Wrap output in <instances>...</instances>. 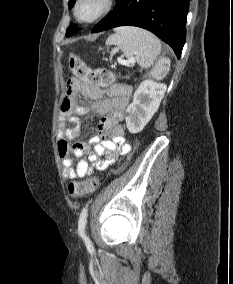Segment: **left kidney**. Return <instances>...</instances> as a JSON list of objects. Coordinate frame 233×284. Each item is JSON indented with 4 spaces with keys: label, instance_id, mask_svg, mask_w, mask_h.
I'll list each match as a JSON object with an SVG mask.
<instances>
[{
    "label": "left kidney",
    "instance_id": "5707ae66",
    "mask_svg": "<svg viewBox=\"0 0 233 284\" xmlns=\"http://www.w3.org/2000/svg\"><path fill=\"white\" fill-rule=\"evenodd\" d=\"M166 85L151 79L143 81L133 95L128 106L126 126L130 133H139L158 110L166 91Z\"/></svg>",
    "mask_w": 233,
    "mask_h": 284
}]
</instances>
